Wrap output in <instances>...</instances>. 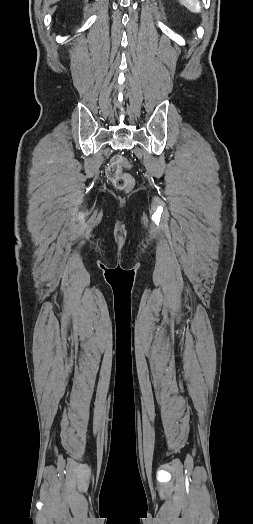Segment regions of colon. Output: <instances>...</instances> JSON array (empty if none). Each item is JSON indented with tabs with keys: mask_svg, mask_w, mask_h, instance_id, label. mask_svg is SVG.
I'll return each instance as SVG.
<instances>
[{
	"mask_svg": "<svg viewBox=\"0 0 253 524\" xmlns=\"http://www.w3.org/2000/svg\"><path fill=\"white\" fill-rule=\"evenodd\" d=\"M128 161L122 156H115L106 168V176L119 190H130L134 185L132 176L124 172Z\"/></svg>",
	"mask_w": 253,
	"mask_h": 524,
	"instance_id": "obj_1",
	"label": "colon"
}]
</instances>
